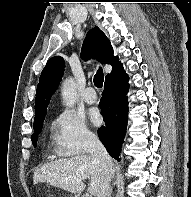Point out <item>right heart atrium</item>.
Instances as JSON below:
<instances>
[{
	"mask_svg": "<svg viewBox=\"0 0 191 197\" xmlns=\"http://www.w3.org/2000/svg\"><path fill=\"white\" fill-rule=\"evenodd\" d=\"M54 152L71 156L85 152L96 140L84 120L70 111L58 114L53 121Z\"/></svg>",
	"mask_w": 191,
	"mask_h": 197,
	"instance_id": "1",
	"label": "right heart atrium"
}]
</instances>
